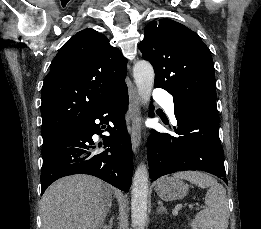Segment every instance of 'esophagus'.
<instances>
[{
    "instance_id": "1",
    "label": "esophagus",
    "mask_w": 261,
    "mask_h": 229,
    "mask_svg": "<svg viewBox=\"0 0 261 229\" xmlns=\"http://www.w3.org/2000/svg\"><path fill=\"white\" fill-rule=\"evenodd\" d=\"M129 101L132 117L131 143L133 151L136 153L141 145L142 115L140 112V97L134 84L129 88Z\"/></svg>"
}]
</instances>
